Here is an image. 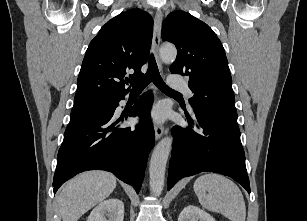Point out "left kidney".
<instances>
[{"mask_svg": "<svg viewBox=\"0 0 307 221\" xmlns=\"http://www.w3.org/2000/svg\"><path fill=\"white\" fill-rule=\"evenodd\" d=\"M178 221H215V219L204 210L189 205L182 210Z\"/></svg>", "mask_w": 307, "mask_h": 221, "instance_id": "obj_1", "label": "left kidney"}]
</instances>
